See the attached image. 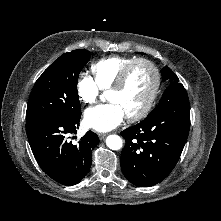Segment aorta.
I'll use <instances>...</instances> for the list:
<instances>
[{
    "mask_svg": "<svg viewBox=\"0 0 221 221\" xmlns=\"http://www.w3.org/2000/svg\"><path fill=\"white\" fill-rule=\"evenodd\" d=\"M106 145L112 150H119L122 148L123 142L120 136L113 134L106 138Z\"/></svg>",
    "mask_w": 221,
    "mask_h": 221,
    "instance_id": "762f6f07",
    "label": "aorta"
}]
</instances>
